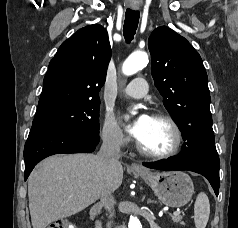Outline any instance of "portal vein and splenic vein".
<instances>
[{"mask_svg": "<svg viewBox=\"0 0 238 228\" xmlns=\"http://www.w3.org/2000/svg\"><path fill=\"white\" fill-rule=\"evenodd\" d=\"M179 213H180V212L175 211V212H173V215H179Z\"/></svg>", "mask_w": 238, "mask_h": 228, "instance_id": "1", "label": "portal vein and splenic vein"}]
</instances>
